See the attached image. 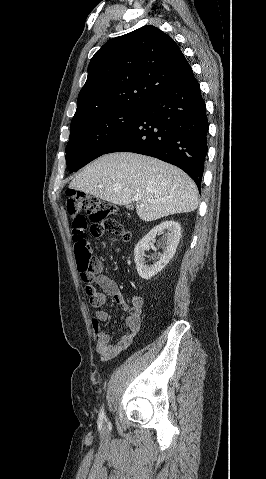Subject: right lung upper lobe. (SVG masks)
<instances>
[{
  "mask_svg": "<svg viewBox=\"0 0 266 479\" xmlns=\"http://www.w3.org/2000/svg\"><path fill=\"white\" fill-rule=\"evenodd\" d=\"M193 71L178 45L155 26L105 43L92 57L72 119L121 108H144Z\"/></svg>",
  "mask_w": 266,
  "mask_h": 479,
  "instance_id": "cb5924a9",
  "label": "right lung upper lobe"
}]
</instances>
